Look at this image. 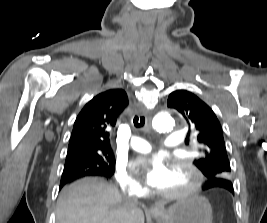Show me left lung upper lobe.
Wrapping results in <instances>:
<instances>
[{
    "label": "left lung upper lobe",
    "instance_id": "obj_1",
    "mask_svg": "<svg viewBox=\"0 0 267 223\" xmlns=\"http://www.w3.org/2000/svg\"><path fill=\"white\" fill-rule=\"evenodd\" d=\"M167 106L179 111L196 133L200 154L193 163L207 177L208 182L230 181L231 168L222 128L212 109L186 90L172 92Z\"/></svg>",
    "mask_w": 267,
    "mask_h": 223
}]
</instances>
